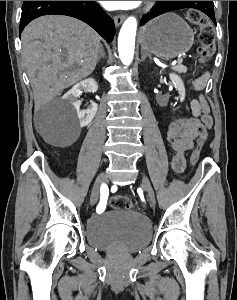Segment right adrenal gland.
<instances>
[{"label":"right adrenal gland","instance_id":"2a0ac1e0","mask_svg":"<svg viewBox=\"0 0 237 300\" xmlns=\"http://www.w3.org/2000/svg\"><path fill=\"white\" fill-rule=\"evenodd\" d=\"M100 53L98 55V63L101 59V57H105V53H104V49H103V45H100V49H99Z\"/></svg>","mask_w":237,"mask_h":300}]
</instances>
